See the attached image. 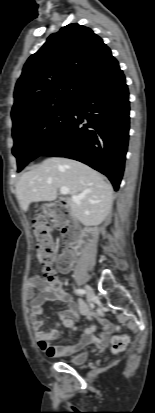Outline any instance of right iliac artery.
<instances>
[{
  "label": "right iliac artery",
  "instance_id": "right-iliac-artery-1",
  "mask_svg": "<svg viewBox=\"0 0 155 413\" xmlns=\"http://www.w3.org/2000/svg\"><path fill=\"white\" fill-rule=\"evenodd\" d=\"M75 292L79 295H83L86 293V291L84 289H75Z\"/></svg>",
  "mask_w": 155,
  "mask_h": 413
}]
</instances>
